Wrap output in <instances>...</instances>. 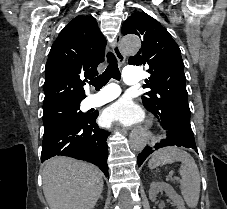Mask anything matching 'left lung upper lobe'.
<instances>
[{"mask_svg":"<svg viewBox=\"0 0 227 209\" xmlns=\"http://www.w3.org/2000/svg\"><path fill=\"white\" fill-rule=\"evenodd\" d=\"M123 35L136 34L141 49L129 58V64L146 66L150 73L141 98L144 106L157 118L175 120L191 128L186 77L181 51L169 32L145 12H135L123 23Z\"/></svg>","mask_w":227,"mask_h":209,"instance_id":"1","label":"left lung upper lobe"}]
</instances>
